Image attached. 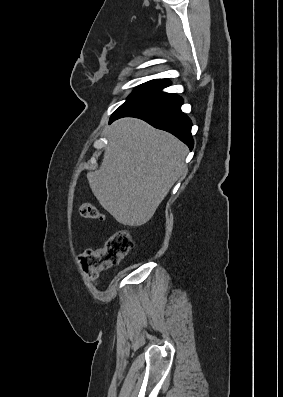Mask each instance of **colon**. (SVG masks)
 I'll return each mask as SVG.
<instances>
[{"label": "colon", "mask_w": 283, "mask_h": 397, "mask_svg": "<svg viewBox=\"0 0 283 397\" xmlns=\"http://www.w3.org/2000/svg\"><path fill=\"white\" fill-rule=\"evenodd\" d=\"M82 217L101 220L103 215L90 202H84L79 207ZM133 248V238L126 229L112 234L99 248L87 249L80 256L82 269L92 284L97 282L100 273L118 264Z\"/></svg>", "instance_id": "colon-1"}]
</instances>
